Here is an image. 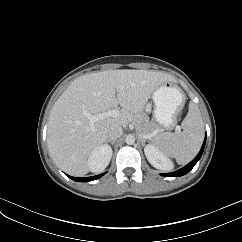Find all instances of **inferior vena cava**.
I'll list each match as a JSON object with an SVG mask.
<instances>
[{
    "mask_svg": "<svg viewBox=\"0 0 242 242\" xmlns=\"http://www.w3.org/2000/svg\"><path fill=\"white\" fill-rule=\"evenodd\" d=\"M123 134V128L119 125H113L108 129V138L110 140H116Z\"/></svg>",
    "mask_w": 242,
    "mask_h": 242,
    "instance_id": "1",
    "label": "inferior vena cava"
}]
</instances>
